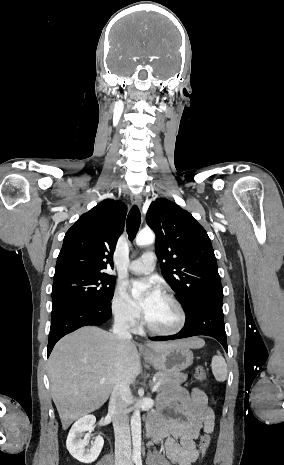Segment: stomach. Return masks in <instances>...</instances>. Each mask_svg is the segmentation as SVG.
Returning <instances> with one entry per match:
<instances>
[{
	"instance_id": "obj_1",
	"label": "stomach",
	"mask_w": 284,
	"mask_h": 465,
	"mask_svg": "<svg viewBox=\"0 0 284 465\" xmlns=\"http://www.w3.org/2000/svg\"><path fill=\"white\" fill-rule=\"evenodd\" d=\"M146 361H149L158 371L172 373V371H184L193 363V353L189 347H185L182 341H175L171 349L167 351H146L143 353Z\"/></svg>"
}]
</instances>
